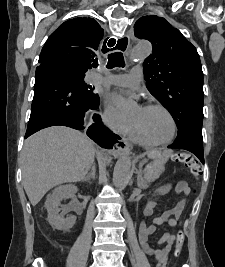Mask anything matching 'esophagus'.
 Wrapping results in <instances>:
<instances>
[{"label": "esophagus", "instance_id": "1", "mask_svg": "<svg viewBox=\"0 0 225 267\" xmlns=\"http://www.w3.org/2000/svg\"><path fill=\"white\" fill-rule=\"evenodd\" d=\"M131 45L130 37L128 35H124L123 37L116 40L115 48L121 52L126 53ZM130 151V146L126 139L122 138L119 145L116 149H114V155H121Z\"/></svg>", "mask_w": 225, "mask_h": 267}]
</instances>
